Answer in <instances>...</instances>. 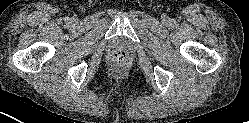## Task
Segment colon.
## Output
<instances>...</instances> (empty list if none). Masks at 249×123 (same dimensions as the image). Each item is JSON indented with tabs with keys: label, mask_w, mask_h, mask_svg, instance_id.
I'll return each mask as SVG.
<instances>
[{
	"label": "colon",
	"mask_w": 249,
	"mask_h": 123,
	"mask_svg": "<svg viewBox=\"0 0 249 123\" xmlns=\"http://www.w3.org/2000/svg\"><path fill=\"white\" fill-rule=\"evenodd\" d=\"M111 64L114 69H122L127 64V57L123 52H116L111 59Z\"/></svg>",
	"instance_id": "1"
}]
</instances>
